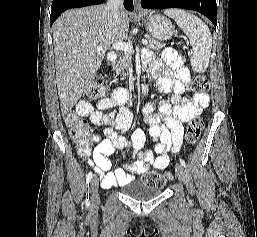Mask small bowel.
Returning <instances> with one entry per match:
<instances>
[{"label":"small bowel","instance_id":"c3829d8e","mask_svg":"<svg viewBox=\"0 0 257 237\" xmlns=\"http://www.w3.org/2000/svg\"><path fill=\"white\" fill-rule=\"evenodd\" d=\"M149 68L157 78L158 89L163 93L173 92L170 101L160 102L157 112L151 103L143 108L149 135L155 141L154 152L143 149L146 135L142 129H136L131 138L122 135L130 128L132 112L116 99L102 98L95 108L84 100L76 105L79 116L89 118L93 125L104 127V138L91 134L94 148L85 141L77 143L79 155L94 167L103 187L122 186L131 179V174L165 169L170 154L178 153L182 147L183 124L200 116L210 103L206 93L197 92L191 98L183 97L190 83V74L176 51L166 49L161 60L149 62ZM117 149H130L133 162L111 171L109 156Z\"/></svg>","mask_w":257,"mask_h":237}]
</instances>
